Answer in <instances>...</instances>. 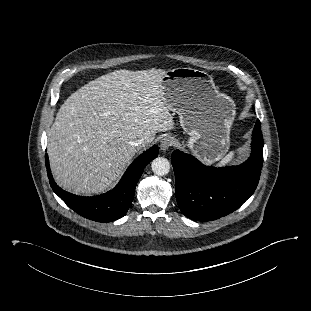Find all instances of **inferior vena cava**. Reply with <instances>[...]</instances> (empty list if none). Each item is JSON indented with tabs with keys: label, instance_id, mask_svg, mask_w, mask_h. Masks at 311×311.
<instances>
[{
	"label": "inferior vena cava",
	"instance_id": "602c4592",
	"mask_svg": "<svg viewBox=\"0 0 311 311\" xmlns=\"http://www.w3.org/2000/svg\"><path fill=\"white\" fill-rule=\"evenodd\" d=\"M147 138L143 137V138H138L136 140H133L130 142V144L134 147H140L142 145H144L147 142Z\"/></svg>",
	"mask_w": 311,
	"mask_h": 311
}]
</instances>
